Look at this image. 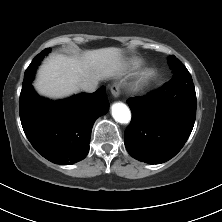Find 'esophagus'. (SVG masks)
Here are the masks:
<instances>
[{
	"mask_svg": "<svg viewBox=\"0 0 222 222\" xmlns=\"http://www.w3.org/2000/svg\"><path fill=\"white\" fill-rule=\"evenodd\" d=\"M110 90H111L112 95L115 98H117L119 96V93H120L119 85H117V84L112 85Z\"/></svg>",
	"mask_w": 222,
	"mask_h": 222,
	"instance_id": "obj_1",
	"label": "esophagus"
}]
</instances>
